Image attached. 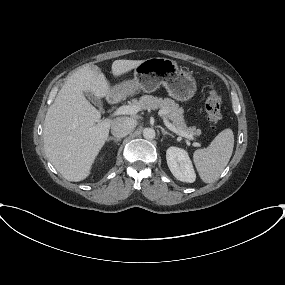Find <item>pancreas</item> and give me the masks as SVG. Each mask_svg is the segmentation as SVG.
Here are the masks:
<instances>
[{"mask_svg": "<svg viewBox=\"0 0 285 285\" xmlns=\"http://www.w3.org/2000/svg\"><path fill=\"white\" fill-rule=\"evenodd\" d=\"M133 103L135 105L140 106L141 109L146 110H155L161 109L166 118L171 120L172 124L192 136L200 135L201 130L196 129L195 127H187L184 121V110L179 107L177 103H175L172 99L169 98H158L152 95H144L139 100H134Z\"/></svg>", "mask_w": 285, "mask_h": 285, "instance_id": "cf45deb5", "label": "pancreas"}]
</instances>
